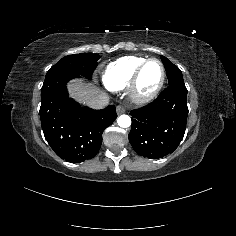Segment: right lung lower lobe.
<instances>
[{"mask_svg": "<svg viewBox=\"0 0 236 236\" xmlns=\"http://www.w3.org/2000/svg\"><path fill=\"white\" fill-rule=\"evenodd\" d=\"M79 77L60 74L45 79L41 89L40 119L44 136L62 159L80 163L93 158L102 144V133L117 118L116 108L80 107L69 98L66 83Z\"/></svg>", "mask_w": 236, "mask_h": 236, "instance_id": "1", "label": "right lung lower lobe"}]
</instances>
